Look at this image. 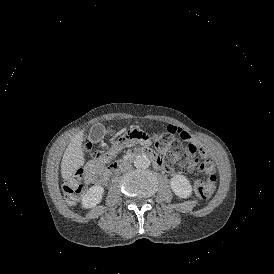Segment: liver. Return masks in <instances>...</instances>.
<instances>
[{"label":"liver","instance_id":"1","mask_svg":"<svg viewBox=\"0 0 274 274\" xmlns=\"http://www.w3.org/2000/svg\"><path fill=\"white\" fill-rule=\"evenodd\" d=\"M83 132L77 133L68 144L61 162V175L64 180L70 179L76 170L84 165L82 151Z\"/></svg>","mask_w":274,"mask_h":274}]
</instances>
